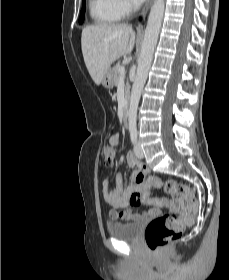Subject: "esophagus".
<instances>
[{"label": "esophagus", "instance_id": "esophagus-1", "mask_svg": "<svg viewBox=\"0 0 229 280\" xmlns=\"http://www.w3.org/2000/svg\"><path fill=\"white\" fill-rule=\"evenodd\" d=\"M153 1H154V0H147V1H146V4H145V6L143 7V10H142V13H141V16H142V17H145V15H146L147 12L149 11V9H150V7H151ZM140 26H141V25L139 24V27H140Z\"/></svg>", "mask_w": 229, "mask_h": 280}]
</instances>
